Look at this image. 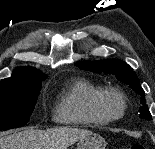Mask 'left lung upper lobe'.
I'll return each mask as SVG.
<instances>
[{
	"label": "left lung upper lobe",
	"instance_id": "1",
	"mask_svg": "<svg viewBox=\"0 0 155 149\" xmlns=\"http://www.w3.org/2000/svg\"><path fill=\"white\" fill-rule=\"evenodd\" d=\"M80 69L88 70L94 73H107L116 77L129 85L132 90L141 96V106L139 108V117L145 120H151V114L146 105L145 93L142 89L138 77L133 69L124 61L119 60H102V61H83L76 64Z\"/></svg>",
	"mask_w": 155,
	"mask_h": 149
}]
</instances>
